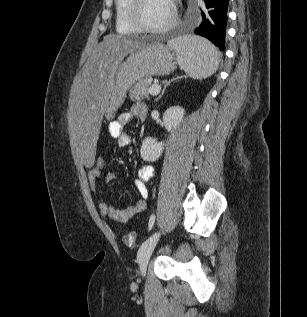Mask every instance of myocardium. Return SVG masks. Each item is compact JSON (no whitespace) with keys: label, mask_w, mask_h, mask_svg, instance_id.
<instances>
[{"label":"myocardium","mask_w":307,"mask_h":317,"mask_svg":"<svg viewBox=\"0 0 307 317\" xmlns=\"http://www.w3.org/2000/svg\"><path fill=\"white\" fill-rule=\"evenodd\" d=\"M172 4V16L171 19L163 26L154 28L145 23L142 17V10L145 0H130L128 8L129 19L132 26L138 31L149 34H164L169 32L178 22V10L173 0H170Z\"/></svg>","instance_id":"myocardium-1"}]
</instances>
